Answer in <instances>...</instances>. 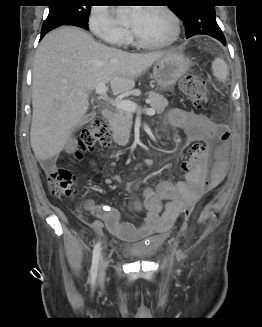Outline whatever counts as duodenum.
<instances>
[{"mask_svg":"<svg viewBox=\"0 0 262 327\" xmlns=\"http://www.w3.org/2000/svg\"><path fill=\"white\" fill-rule=\"evenodd\" d=\"M102 115L108 121H110L112 119V117H113L112 111L110 109H108V108L103 109Z\"/></svg>","mask_w":262,"mask_h":327,"instance_id":"duodenum-1","label":"duodenum"}]
</instances>
